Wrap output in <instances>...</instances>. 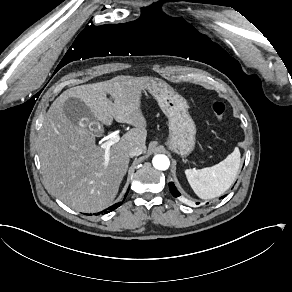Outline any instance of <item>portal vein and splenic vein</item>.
Masks as SVG:
<instances>
[{
	"label": "portal vein and splenic vein",
	"instance_id": "portal-vein-and-splenic-vein-1",
	"mask_svg": "<svg viewBox=\"0 0 292 292\" xmlns=\"http://www.w3.org/2000/svg\"><path fill=\"white\" fill-rule=\"evenodd\" d=\"M120 136L118 131H114L110 134L109 140L101 145V148L105 149V165L107 166L110 159V148L113 144L119 142Z\"/></svg>",
	"mask_w": 292,
	"mask_h": 292
}]
</instances>
